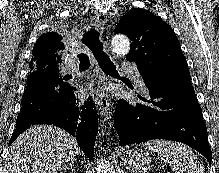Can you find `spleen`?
Listing matches in <instances>:
<instances>
[{
  "label": "spleen",
  "mask_w": 219,
  "mask_h": 173,
  "mask_svg": "<svg viewBox=\"0 0 219 173\" xmlns=\"http://www.w3.org/2000/svg\"><path fill=\"white\" fill-rule=\"evenodd\" d=\"M144 146L167 162L174 173H205L195 154L179 142L153 139L145 142Z\"/></svg>",
  "instance_id": "1"
}]
</instances>
